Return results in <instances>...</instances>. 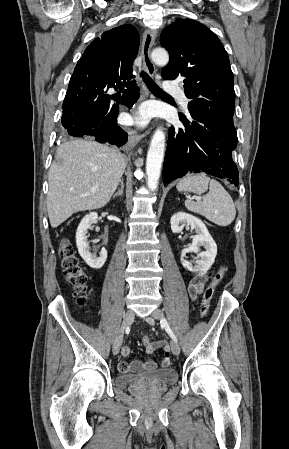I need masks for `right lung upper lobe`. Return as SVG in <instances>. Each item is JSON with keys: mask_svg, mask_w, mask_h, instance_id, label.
Listing matches in <instances>:
<instances>
[{"mask_svg": "<svg viewBox=\"0 0 289 449\" xmlns=\"http://www.w3.org/2000/svg\"><path fill=\"white\" fill-rule=\"evenodd\" d=\"M138 48L139 34L132 25L105 31L86 48L72 76L82 81L125 85L134 77L132 65Z\"/></svg>", "mask_w": 289, "mask_h": 449, "instance_id": "right-lung-upper-lobe-1", "label": "right lung upper lobe"}]
</instances>
